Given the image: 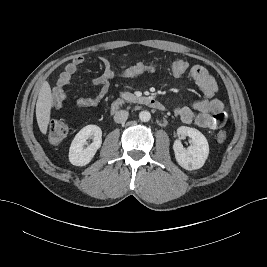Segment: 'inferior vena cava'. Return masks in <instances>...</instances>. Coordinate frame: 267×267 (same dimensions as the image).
Returning <instances> with one entry per match:
<instances>
[{"label":"inferior vena cava","mask_w":267,"mask_h":267,"mask_svg":"<svg viewBox=\"0 0 267 267\" xmlns=\"http://www.w3.org/2000/svg\"><path fill=\"white\" fill-rule=\"evenodd\" d=\"M128 111H125V110H120V111H117L114 115V121L116 123H124L127 118H128Z\"/></svg>","instance_id":"obj_1"}]
</instances>
